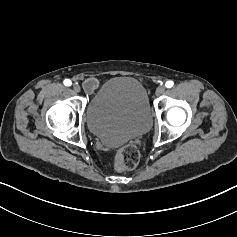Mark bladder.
Instances as JSON below:
<instances>
[{"instance_id": "bladder-1", "label": "bladder", "mask_w": 237, "mask_h": 237, "mask_svg": "<svg viewBox=\"0 0 237 237\" xmlns=\"http://www.w3.org/2000/svg\"><path fill=\"white\" fill-rule=\"evenodd\" d=\"M85 116L90 132L108 145L137 138L152 124L147 91L130 76L104 82L91 96Z\"/></svg>"}]
</instances>
